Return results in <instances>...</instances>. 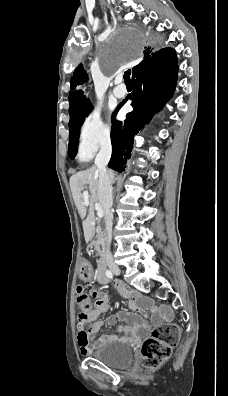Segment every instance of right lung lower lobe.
Listing matches in <instances>:
<instances>
[{"mask_svg": "<svg viewBox=\"0 0 228 396\" xmlns=\"http://www.w3.org/2000/svg\"><path fill=\"white\" fill-rule=\"evenodd\" d=\"M177 58L171 48L161 49L145 58L132 74L134 91L120 103L113 117L123 104L131 99L133 111L126 119L113 121L111 130L112 156L108 167L117 172L125 170L133 146L134 136L144 123L172 96L177 80Z\"/></svg>", "mask_w": 228, "mask_h": 396, "instance_id": "1", "label": "right lung lower lobe"}]
</instances>
